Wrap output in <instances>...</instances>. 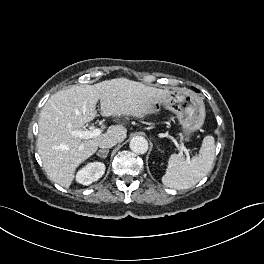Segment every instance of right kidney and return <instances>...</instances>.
Returning a JSON list of instances; mask_svg holds the SVG:
<instances>
[{
    "label": "right kidney",
    "mask_w": 264,
    "mask_h": 264,
    "mask_svg": "<svg viewBox=\"0 0 264 264\" xmlns=\"http://www.w3.org/2000/svg\"><path fill=\"white\" fill-rule=\"evenodd\" d=\"M104 173L105 165L102 162H92L77 172L76 181L87 186L101 178Z\"/></svg>",
    "instance_id": "obj_1"
}]
</instances>
